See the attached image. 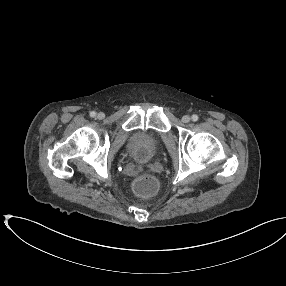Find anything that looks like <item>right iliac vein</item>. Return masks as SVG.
I'll return each instance as SVG.
<instances>
[{"label":"right iliac vein","mask_w":286,"mask_h":286,"mask_svg":"<svg viewBox=\"0 0 286 286\" xmlns=\"http://www.w3.org/2000/svg\"><path fill=\"white\" fill-rule=\"evenodd\" d=\"M97 117H98L99 119H102V118L104 117V114H103V113H98Z\"/></svg>","instance_id":"63e3f726"}]
</instances>
